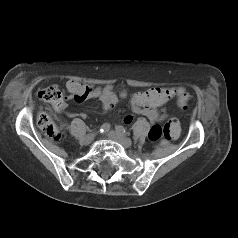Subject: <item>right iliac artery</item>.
Instances as JSON below:
<instances>
[{
	"label": "right iliac artery",
	"mask_w": 238,
	"mask_h": 238,
	"mask_svg": "<svg viewBox=\"0 0 238 238\" xmlns=\"http://www.w3.org/2000/svg\"><path fill=\"white\" fill-rule=\"evenodd\" d=\"M109 129H110V124L109 123H104L100 127L99 131H100V133H105V132L109 131Z\"/></svg>",
	"instance_id": "1"
}]
</instances>
